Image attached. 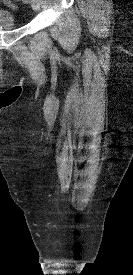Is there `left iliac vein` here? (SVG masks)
Here are the masks:
<instances>
[{
	"label": "left iliac vein",
	"instance_id": "obj_1",
	"mask_svg": "<svg viewBox=\"0 0 133 275\" xmlns=\"http://www.w3.org/2000/svg\"><path fill=\"white\" fill-rule=\"evenodd\" d=\"M31 5L35 11L40 9V0H31Z\"/></svg>",
	"mask_w": 133,
	"mask_h": 275
}]
</instances>
